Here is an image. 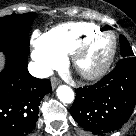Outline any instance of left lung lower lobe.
<instances>
[{
  "mask_svg": "<svg viewBox=\"0 0 136 136\" xmlns=\"http://www.w3.org/2000/svg\"><path fill=\"white\" fill-rule=\"evenodd\" d=\"M75 92L70 111L81 127L98 135L117 130L136 103V58H122L101 81Z\"/></svg>",
  "mask_w": 136,
  "mask_h": 136,
  "instance_id": "left-lung-lower-lobe-1",
  "label": "left lung lower lobe"
}]
</instances>
